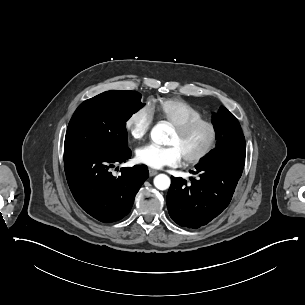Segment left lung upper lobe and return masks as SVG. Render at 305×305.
Instances as JSON below:
<instances>
[{
	"label": "left lung upper lobe",
	"mask_w": 305,
	"mask_h": 305,
	"mask_svg": "<svg viewBox=\"0 0 305 305\" xmlns=\"http://www.w3.org/2000/svg\"><path fill=\"white\" fill-rule=\"evenodd\" d=\"M212 122L217 136V146L203 161L245 160V138L238 120L225 107H221L219 112L213 115Z\"/></svg>",
	"instance_id": "left-lung-upper-lobe-1"
}]
</instances>
